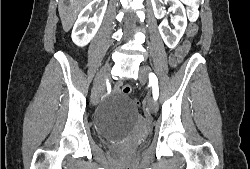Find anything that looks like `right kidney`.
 I'll return each instance as SVG.
<instances>
[{
	"label": "right kidney",
	"mask_w": 250,
	"mask_h": 169,
	"mask_svg": "<svg viewBox=\"0 0 250 169\" xmlns=\"http://www.w3.org/2000/svg\"><path fill=\"white\" fill-rule=\"evenodd\" d=\"M108 0H91L87 6H84L73 26L72 40L78 46H85L93 36H95L105 14ZM96 8L93 16H90L93 8Z\"/></svg>",
	"instance_id": "right-kidney-1"
}]
</instances>
